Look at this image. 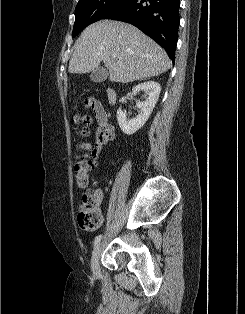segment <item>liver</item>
<instances>
[{
    "label": "liver",
    "mask_w": 245,
    "mask_h": 314,
    "mask_svg": "<svg viewBox=\"0 0 245 314\" xmlns=\"http://www.w3.org/2000/svg\"><path fill=\"white\" fill-rule=\"evenodd\" d=\"M116 58H112V55ZM103 61L109 80L129 83L158 76L171 61L155 41L128 23L102 20L89 25L75 45L69 62L72 74L89 73Z\"/></svg>",
    "instance_id": "liver-1"
}]
</instances>
